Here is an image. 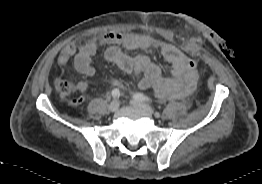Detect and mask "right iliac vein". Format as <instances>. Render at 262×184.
<instances>
[{
    "label": "right iliac vein",
    "mask_w": 262,
    "mask_h": 184,
    "mask_svg": "<svg viewBox=\"0 0 262 184\" xmlns=\"http://www.w3.org/2000/svg\"><path fill=\"white\" fill-rule=\"evenodd\" d=\"M119 108V101L118 100H113L110 105H109V110L111 112H116Z\"/></svg>",
    "instance_id": "63e3f726"
}]
</instances>
